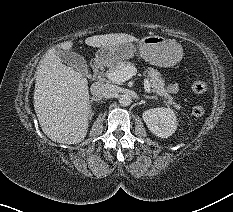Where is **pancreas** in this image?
I'll return each mask as SVG.
<instances>
[{
	"label": "pancreas",
	"mask_w": 233,
	"mask_h": 212,
	"mask_svg": "<svg viewBox=\"0 0 233 212\" xmlns=\"http://www.w3.org/2000/svg\"><path fill=\"white\" fill-rule=\"evenodd\" d=\"M110 68L109 71L121 70L125 67L134 66L132 62L119 60L117 63H108ZM143 75H147L150 77V86L152 87V91L157 95L163 97L164 102L167 106L173 105L174 108L180 109V105L173 101V97L169 95L168 91L164 87L165 81L162 78L161 73L154 68L148 67L143 72Z\"/></svg>",
	"instance_id": "1"
}]
</instances>
